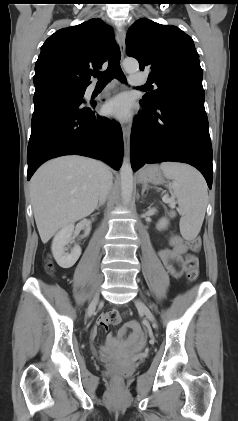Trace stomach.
<instances>
[{
    "mask_svg": "<svg viewBox=\"0 0 238 421\" xmlns=\"http://www.w3.org/2000/svg\"><path fill=\"white\" fill-rule=\"evenodd\" d=\"M139 179L144 183L158 185L164 182V173L161 171L160 166L157 164H151L145 166L139 172Z\"/></svg>",
    "mask_w": 238,
    "mask_h": 421,
    "instance_id": "1",
    "label": "stomach"
}]
</instances>
